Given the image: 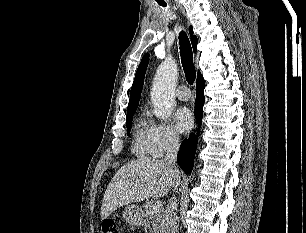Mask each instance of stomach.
<instances>
[{
	"instance_id": "stomach-1",
	"label": "stomach",
	"mask_w": 306,
	"mask_h": 233,
	"mask_svg": "<svg viewBox=\"0 0 306 233\" xmlns=\"http://www.w3.org/2000/svg\"><path fill=\"white\" fill-rule=\"evenodd\" d=\"M124 219L133 226H139L143 222L144 213L138 205H128L123 211Z\"/></svg>"
}]
</instances>
